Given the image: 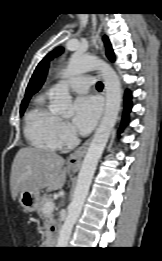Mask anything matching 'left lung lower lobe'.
I'll return each instance as SVG.
<instances>
[{"mask_svg": "<svg viewBox=\"0 0 162 261\" xmlns=\"http://www.w3.org/2000/svg\"><path fill=\"white\" fill-rule=\"evenodd\" d=\"M131 110V94L130 92L125 93V109L123 114V120H122V128L127 124L128 122V113Z\"/></svg>", "mask_w": 162, "mask_h": 261, "instance_id": "1", "label": "left lung lower lobe"}]
</instances>
